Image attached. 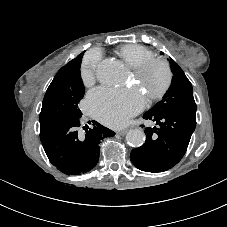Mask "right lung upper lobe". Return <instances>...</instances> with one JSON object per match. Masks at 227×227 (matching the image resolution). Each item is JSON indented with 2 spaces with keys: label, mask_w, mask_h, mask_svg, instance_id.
<instances>
[{
  "label": "right lung upper lobe",
  "mask_w": 227,
  "mask_h": 227,
  "mask_svg": "<svg viewBox=\"0 0 227 227\" xmlns=\"http://www.w3.org/2000/svg\"><path fill=\"white\" fill-rule=\"evenodd\" d=\"M82 54V53H81ZM78 55L75 59L71 60L70 62H68V64H66L64 67H62L61 69L63 68H66L68 66H71L73 64H75L76 62H78L80 60V58L83 56V55ZM82 59V58H81Z\"/></svg>",
  "instance_id": "right-lung-upper-lobe-1"
}]
</instances>
